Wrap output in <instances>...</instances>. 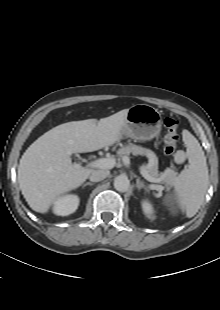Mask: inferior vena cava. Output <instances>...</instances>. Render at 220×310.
Returning a JSON list of instances; mask_svg holds the SVG:
<instances>
[{"mask_svg":"<svg viewBox=\"0 0 220 310\" xmlns=\"http://www.w3.org/2000/svg\"><path fill=\"white\" fill-rule=\"evenodd\" d=\"M109 175V172L106 170H94L89 176L90 181L99 182L105 179Z\"/></svg>","mask_w":220,"mask_h":310,"instance_id":"obj_1","label":"inferior vena cava"}]
</instances>
